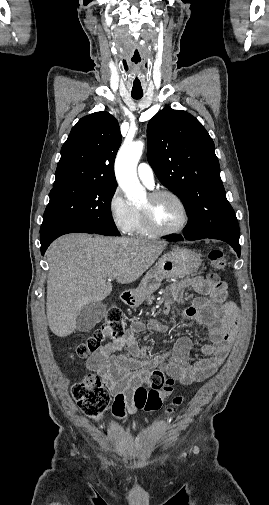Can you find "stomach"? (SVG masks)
<instances>
[{"label": "stomach", "instance_id": "stomach-1", "mask_svg": "<svg viewBox=\"0 0 269 505\" xmlns=\"http://www.w3.org/2000/svg\"><path fill=\"white\" fill-rule=\"evenodd\" d=\"M201 255L190 249H174L164 254L141 281L138 298L133 304L138 306L141 298L153 293L161 286L163 279H178L196 272L201 265Z\"/></svg>", "mask_w": 269, "mask_h": 505}]
</instances>
